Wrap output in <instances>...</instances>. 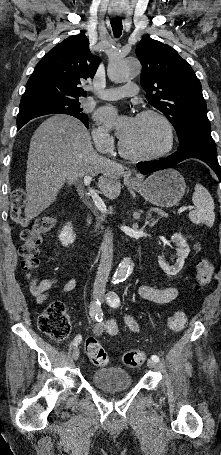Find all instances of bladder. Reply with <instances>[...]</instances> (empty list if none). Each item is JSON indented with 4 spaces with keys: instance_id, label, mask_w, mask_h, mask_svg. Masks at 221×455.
Wrapping results in <instances>:
<instances>
[{
    "instance_id": "1",
    "label": "bladder",
    "mask_w": 221,
    "mask_h": 455,
    "mask_svg": "<svg viewBox=\"0 0 221 455\" xmlns=\"http://www.w3.org/2000/svg\"><path fill=\"white\" fill-rule=\"evenodd\" d=\"M91 384L101 391L114 392L129 389L133 386L130 374L119 367H105L90 373Z\"/></svg>"
}]
</instances>
